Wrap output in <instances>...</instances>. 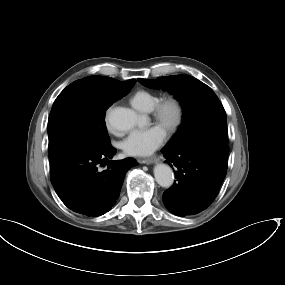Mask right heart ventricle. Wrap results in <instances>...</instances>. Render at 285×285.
Instances as JSON below:
<instances>
[{
  "instance_id": "right-heart-ventricle-1",
  "label": "right heart ventricle",
  "mask_w": 285,
  "mask_h": 285,
  "mask_svg": "<svg viewBox=\"0 0 285 285\" xmlns=\"http://www.w3.org/2000/svg\"><path fill=\"white\" fill-rule=\"evenodd\" d=\"M160 100L159 96L147 90H139L130 98L132 106L139 111H150Z\"/></svg>"
}]
</instances>
